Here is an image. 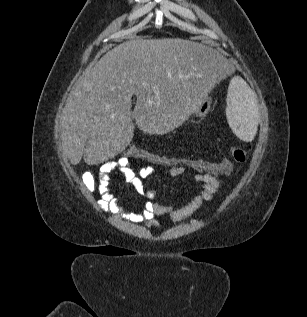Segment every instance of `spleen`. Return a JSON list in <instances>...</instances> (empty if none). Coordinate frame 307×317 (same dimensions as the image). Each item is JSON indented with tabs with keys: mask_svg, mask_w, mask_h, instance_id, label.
Masks as SVG:
<instances>
[{
	"mask_svg": "<svg viewBox=\"0 0 307 317\" xmlns=\"http://www.w3.org/2000/svg\"><path fill=\"white\" fill-rule=\"evenodd\" d=\"M226 115L233 133L243 141L254 139L259 123L258 105L253 91L239 78L231 80Z\"/></svg>",
	"mask_w": 307,
	"mask_h": 317,
	"instance_id": "3e777b00",
	"label": "spleen"
}]
</instances>
